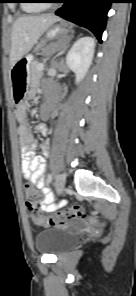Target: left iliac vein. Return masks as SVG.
Here are the masks:
<instances>
[{
  "label": "left iliac vein",
  "instance_id": "obj_1",
  "mask_svg": "<svg viewBox=\"0 0 136 296\" xmlns=\"http://www.w3.org/2000/svg\"><path fill=\"white\" fill-rule=\"evenodd\" d=\"M56 190L59 195L63 194L65 188V177L62 174H58L56 177Z\"/></svg>",
  "mask_w": 136,
  "mask_h": 296
}]
</instances>
